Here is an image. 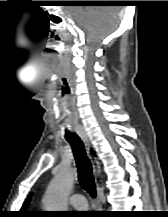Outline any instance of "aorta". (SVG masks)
<instances>
[{"label": "aorta", "mask_w": 168, "mask_h": 217, "mask_svg": "<svg viewBox=\"0 0 168 217\" xmlns=\"http://www.w3.org/2000/svg\"><path fill=\"white\" fill-rule=\"evenodd\" d=\"M74 184L73 172L61 169L50 182L43 199L47 211H67V199Z\"/></svg>", "instance_id": "1"}]
</instances>
